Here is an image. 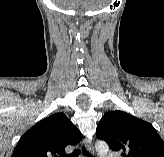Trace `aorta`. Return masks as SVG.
<instances>
[{
  "mask_svg": "<svg viewBox=\"0 0 164 157\" xmlns=\"http://www.w3.org/2000/svg\"><path fill=\"white\" fill-rule=\"evenodd\" d=\"M95 148L99 157H106L109 151V146L105 141H97Z\"/></svg>",
  "mask_w": 164,
  "mask_h": 157,
  "instance_id": "762f6f07",
  "label": "aorta"
}]
</instances>
